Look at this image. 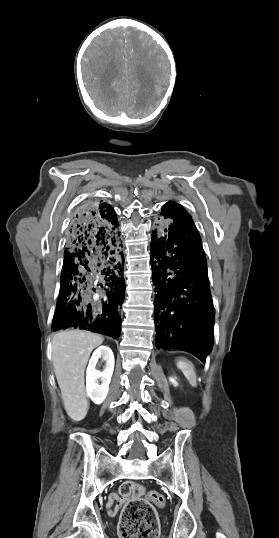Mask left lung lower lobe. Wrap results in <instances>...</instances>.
<instances>
[{
	"mask_svg": "<svg viewBox=\"0 0 279 538\" xmlns=\"http://www.w3.org/2000/svg\"><path fill=\"white\" fill-rule=\"evenodd\" d=\"M151 266L156 347L187 351L205 363L213 345L215 310L194 223L177 221L153 230Z\"/></svg>",
	"mask_w": 279,
	"mask_h": 538,
	"instance_id": "left-lung-lower-lobe-1",
	"label": "left lung lower lobe"
}]
</instances>
